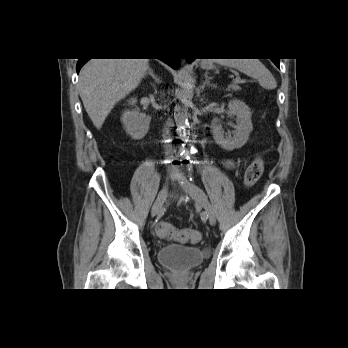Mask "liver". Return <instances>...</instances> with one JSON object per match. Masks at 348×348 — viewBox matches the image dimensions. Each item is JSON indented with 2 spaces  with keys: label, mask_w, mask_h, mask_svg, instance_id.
<instances>
[{
  "label": "liver",
  "mask_w": 348,
  "mask_h": 348,
  "mask_svg": "<svg viewBox=\"0 0 348 348\" xmlns=\"http://www.w3.org/2000/svg\"><path fill=\"white\" fill-rule=\"evenodd\" d=\"M149 59H91L79 75V93L94 126L100 129L118 101L141 82Z\"/></svg>",
  "instance_id": "6515ba94"
}]
</instances>
